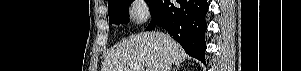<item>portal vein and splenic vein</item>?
I'll return each instance as SVG.
<instances>
[{
  "instance_id": "18ae733b",
  "label": "portal vein and splenic vein",
  "mask_w": 301,
  "mask_h": 71,
  "mask_svg": "<svg viewBox=\"0 0 301 71\" xmlns=\"http://www.w3.org/2000/svg\"><path fill=\"white\" fill-rule=\"evenodd\" d=\"M134 68H136L137 70H140V71H144V66L135 65ZM146 71H147V69H146Z\"/></svg>"
}]
</instances>
